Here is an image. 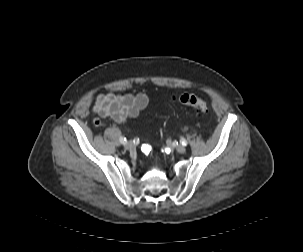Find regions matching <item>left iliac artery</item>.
I'll list each match as a JSON object with an SVG mask.
<instances>
[{"instance_id": "left-iliac-artery-1", "label": "left iliac artery", "mask_w": 303, "mask_h": 252, "mask_svg": "<svg viewBox=\"0 0 303 252\" xmlns=\"http://www.w3.org/2000/svg\"><path fill=\"white\" fill-rule=\"evenodd\" d=\"M181 144H182L183 146H187L188 142H187L184 138H182V139H181Z\"/></svg>"}]
</instances>
